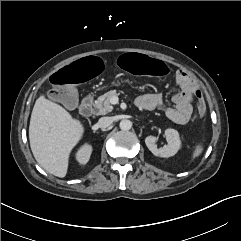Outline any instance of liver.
Segmentation results:
<instances>
[{
	"label": "liver",
	"mask_w": 241,
	"mask_h": 241,
	"mask_svg": "<svg viewBox=\"0 0 241 241\" xmlns=\"http://www.w3.org/2000/svg\"><path fill=\"white\" fill-rule=\"evenodd\" d=\"M83 133V124L62 106L44 95L36 100L29 125L30 147L37 163L48 173L66 176L70 152Z\"/></svg>",
	"instance_id": "1"
}]
</instances>
